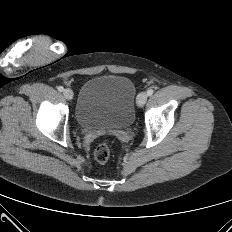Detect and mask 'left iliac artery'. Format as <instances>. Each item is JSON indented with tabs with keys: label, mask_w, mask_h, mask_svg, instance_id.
<instances>
[{
	"label": "left iliac artery",
	"mask_w": 232,
	"mask_h": 232,
	"mask_svg": "<svg viewBox=\"0 0 232 232\" xmlns=\"http://www.w3.org/2000/svg\"><path fill=\"white\" fill-rule=\"evenodd\" d=\"M153 92H154V90L151 89V88H149V89L147 90V95H148V96H151V95L153 94Z\"/></svg>",
	"instance_id": "left-iliac-artery-1"
}]
</instances>
